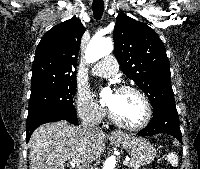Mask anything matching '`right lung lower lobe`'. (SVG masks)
I'll return each instance as SVG.
<instances>
[{
    "label": "right lung lower lobe",
    "instance_id": "98d812e1",
    "mask_svg": "<svg viewBox=\"0 0 200 169\" xmlns=\"http://www.w3.org/2000/svg\"><path fill=\"white\" fill-rule=\"evenodd\" d=\"M60 120H66L72 124H76L77 113L76 111H71L67 113L40 112L28 115L26 122V142L29 141L31 134L38 126L47 122H55Z\"/></svg>",
    "mask_w": 200,
    "mask_h": 169
}]
</instances>
